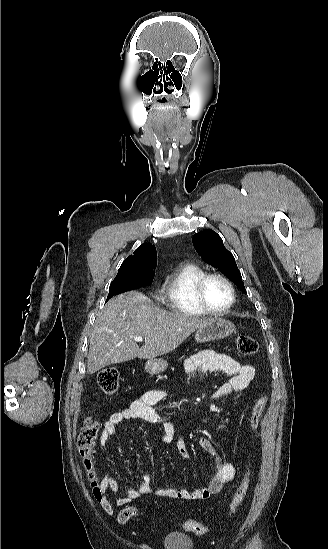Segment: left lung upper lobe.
I'll list each match as a JSON object with an SVG mask.
<instances>
[{"instance_id": "left-lung-upper-lobe-1", "label": "left lung upper lobe", "mask_w": 328, "mask_h": 549, "mask_svg": "<svg viewBox=\"0 0 328 549\" xmlns=\"http://www.w3.org/2000/svg\"><path fill=\"white\" fill-rule=\"evenodd\" d=\"M193 245L204 261L218 268L241 291L246 292L235 259L232 253L225 248L221 237L216 232L207 229L195 234Z\"/></svg>"}]
</instances>
